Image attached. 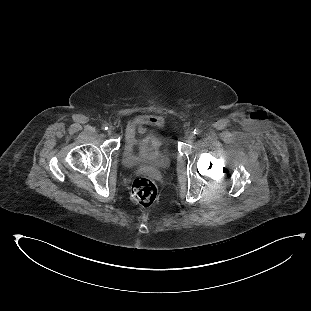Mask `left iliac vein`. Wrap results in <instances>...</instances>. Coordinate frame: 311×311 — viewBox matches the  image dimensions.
I'll return each instance as SVG.
<instances>
[{
  "mask_svg": "<svg viewBox=\"0 0 311 311\" xmlns=\"http://www.w3.org/2000/svg\"><path fill=\"white\" fill-rule=\"evenodd\" d=\"M195 138V135L193 132H191L189 135H188V139L189 140H193Z\"/></svg>",
  "mask_w": 311,
  "mask_h": 311,
  "instance_id": "obj_1",
  "label": "left iliac vein"
}]
</instances>
